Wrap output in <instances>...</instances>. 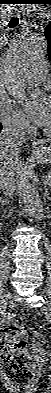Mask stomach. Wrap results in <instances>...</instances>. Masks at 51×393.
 I'll list each match as a JSON object with an SVG mask.
<instances>
[{
    "instance_id": "stomach-1",
    "label": "stomach",
    "mask_w": 51,
    "mask_h": 393,
    "mask_svg": "<svg viewBox=\"0 0 51 393\" xmlns=\"http://www.w3.org/2000/svg\"><path fill=\"white\" fill-rule=\"evenodd\" d=\"M37 163L41 165H51V144H42L38 150L34 152Z\"/></svg>"
}]
</instances>
